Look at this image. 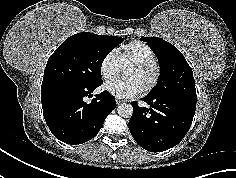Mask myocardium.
<instances>
[{"instance_id": "myocardium-1", "label": "myocardium", "mask_w": 236, "mask_h": 178, "mask_svg": "<svg viewBox=\"0 0 236 178\" xmlns=\"http://www.w3.org/2000/svg\"><path fill=\"white\" fill-rule=\"evenodd\" d=\"M127 68H138L152 72V78L150 82L143 88L144 93H148L153 90L159 83L161 77V68L157 63L152 62H132Z\"/></svg>"}]
</instances>
